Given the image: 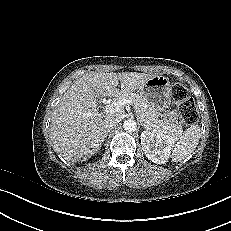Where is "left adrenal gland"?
Returning a JSON list of instances; mask_svg holds the SVG:
<instances>
[{"label": "left adrenal gland", "instance_id": "obj_1", "mask_svg": "<svg viewBox=\"0 0 231 231\" xmlns=\"http://www.w3.org/2000/svg\"><path fill=\"white\" fill-rule=\"evenodd\" d=\"M141 125L144 126V129L148 130V128L143 123H141Z\"/></svg>", "mask_w": 231, "mask_h": 231}]
</instances>
